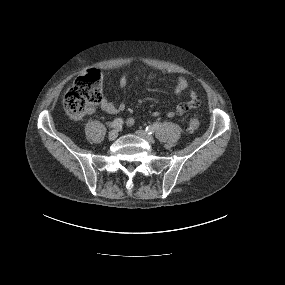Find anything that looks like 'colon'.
<instances>
[{
	"label": "colon",
	"mask_w": 285,
	"mask_h": 285,
	"mask_svg": "<svg viewBox=\"0 0 285 285\" xmlns=\"http://www.w3.org/2000/svg\"><path fill=\"white\" fill-rule=\"evenodd\" d=\"M102 79L101 71L89 69L75 80L64 102L65 111L71 119L81 120L101 101ZM198 127L199 120L193 117L188 120L186 130L193 132Z\"/></svg>",
	"instance_id": "5ec220e1"
}]
</instances>
